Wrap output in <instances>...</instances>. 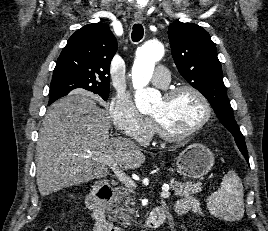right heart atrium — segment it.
Returning <instances> with one entry per match:
<instances>
[{
    "instance_id": "d8ad5b80",
    "label": "right heart atrium",
    "mask_w": 268,
    "mask_h": 231,
    "mask_svg": "<svg viewBox=\"0 0 268 231\" xmlns=\"http://www.w3.org/2000/svg\"><path fill=\"white\" fill-rule=\"evenodd\" d=\"M108 110L118 132L139 144H145L151 140L153 123L147 115L138 110L128 92L114 95L108 105Z\"/></svg>"
}]
</instances>
